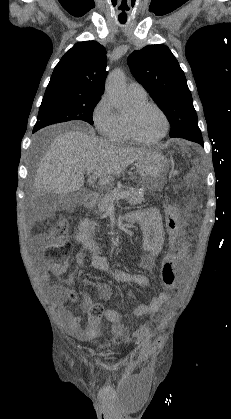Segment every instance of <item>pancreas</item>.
<instances>
[{"label": "pancreas", "mask_w": 231, "mask_h": 419, "mask_svg": "<svg viewBox=\"0 0 231 419\" xmlns=\"http://www.w3.org/2000/svg\"><path fill=\"white\" fill-rule=\"evenodd\" d=\"M124 189H126V191L129 192V196L127 197L129 204L137 205V204H142L143 202H145L143 191H139V189L132 188V187H125V186L117 187L111 191H108L105 195L99 198L98 200L99 211L101 212L107 211L109 207L112 206L113 203L116 201V199L113 198V195L116 193L125 192Z\"/></svg>", "instance_id": "obj_1"}]
</instances>
